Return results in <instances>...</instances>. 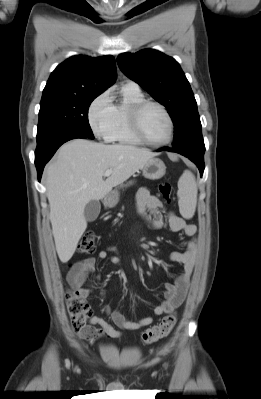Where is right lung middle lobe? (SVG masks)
I'll list each match as a JSON object with an SVG mask.
<instances>
[{
  "mask_svg": "<svg viewBox=\"0 0 261 399\" xmlns=\"http://www.w3.org/2000/svg\"><path fill=\"white\" fill-rule=\"evenodd\" d=\"M98 95L45 96L39 111L37 139L59 129H73L92 136L88 122V109Z\"/></svg>",
  "mask_w": 261,
  "mask_h": 399,
  "instance_id": "obj_1",
  "label": "right lung middle lobe"
}]
</instances>
